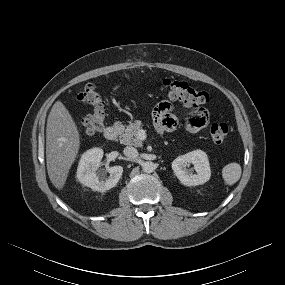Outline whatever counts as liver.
Masks as SVG:
<instances>
[{
	"label": "liver",
	"mask_w": 285,
	"mask_h": 285,
	"mask_svg": "<svg viewBox=\"0 0 285 285\" xmlns=\"http://www.w3.org/2000/svg\"><path fill=\"white\" fill-rule=\"evenodd\" d=\"M80 148L78 127L61 101L53 105L46 127V163L50 181L63 189Z\"/></svg>",
	"instance_id": "1"
}]
</instances>
